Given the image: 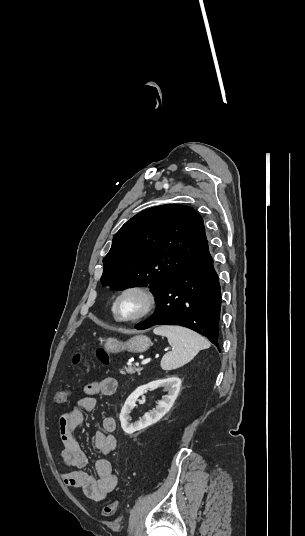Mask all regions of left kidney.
<instances>
[{"label": "left kidney", "mask_w": 305, "mask_h": 536, "mask_svg": "<svg viewBox=\"0 0 305 536\" xmlns=\"http://www.w3.org/2000/svg\"><path fill=\"white\" fill-rule=\"evenodd\" d=\"M180 386L181 380H179L178 376H170V378H165V380H156V382H150V384H146V386H139V388H136L135 392H132V394L128 396L121 410L120 422L122 430H124L126 434H134V432H139V430H144V428H148L151 424L159 422V420L169 412L170 408H172L179 394ZM148 388H152V390H155V388H165L168 394L167 396H163L162 400H159L158 406L154 408L153 412L144 414L141 420L134 422V424H130L129 420H132L130 414L132 410H134L139 396H143Z\"/></svg>", "instance_id": "1"}]
</instances>
